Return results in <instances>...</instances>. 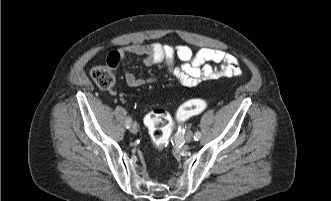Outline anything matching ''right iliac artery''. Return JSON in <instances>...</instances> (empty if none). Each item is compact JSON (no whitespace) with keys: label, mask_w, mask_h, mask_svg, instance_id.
<instances>
[{"label":"right iliac artery","mask_w":331,"mask_h":201,"mask_svg":"<svg viewBox=\"0 0 331 201\" xmlns=\"http://www.w3.org/2000/svg\"><path fill=\"white\" fill-rule=\"evenodd\" d=\"M131 124H132V120H131L130 117H128V118L126 119V122H125V126H126V128L129 129L130 126H131Z\"/></svg>","instance_id":"right-iliac-artery-1"}]
</instances>
